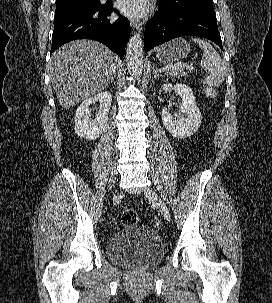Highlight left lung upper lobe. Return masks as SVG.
I'll use <instances>...</instances> for the list:
<instances>
[{
  "label": "left lung upper lobe",
  "mask_w": 272,
  "mask_h": 303,
  "mask_svg": "<svg viewBox=\"0 0 272 303\" xmlns=\"http://www.w3.org/2000/svg\"><path fill=\"white\" fill-rule=\"evenodd\" d=\"M158 5L167 11L213 9V0H158Z\"/></svg>",
  "instance_id": "obj_1"
}]
</instances>
